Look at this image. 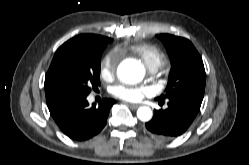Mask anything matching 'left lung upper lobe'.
I'll return each instance as SVG.
<instances>
[{
  "instance_id": "1",
  "label": "left lung upper lobe",
  "mask_w": 249,
  "mask_h": 165,
  "mask_svg": "<svg viewBox=\"0 0 249 165\" xmlns=\"http://www.w3.org/2000/svg\"><path fill=\"white\" fill-rule=\"evenodd\" d=\"M171 61L168 84L165 93L157 99L178 96L202 101L205 91V69L194 45L187 39L170 34H159Z\"/></svg>"
}]
</instances>
